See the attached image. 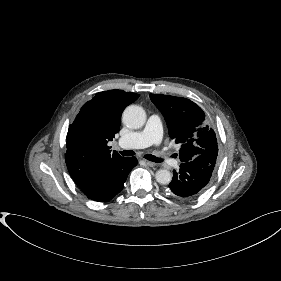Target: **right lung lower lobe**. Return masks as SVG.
<instances>
[{
    "mask_svg": "<svg viewBox=\"0 0 281 281\" xmlns=\"http://www.w3.org/2000/svg\"><path fill=\"white\" fill-rule=\"evenodd\" d=\"M136 165V157H124L112 165L95 184L82 191L94 201H109L122 191L128 174Z\"/></svg>",
    "mask_w": 281,
    "mask_h": 281,
    "instance_id": "obj_1",
    "label": "right lung lower lobe"
}]
</instances>
